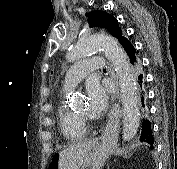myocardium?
<instances>
[{
    "label": "myocardium",
    "mask_w": 177,
    "mask_h": 169,
    "mask_svg": "<svg viewBox=\"0 0 177 169\" xmlns=\"http://www.w3.org/2000/svg\"><path fill=\"white\" fill-rule=\"evenodd\" d=\"M76 114L84 124L91 126L96 123V121L94 119L90 118L89 116H87L85 114H80V113H76Z\"/></svg>",
    "instance_id": "myocardium-1"
}]
</instances>
